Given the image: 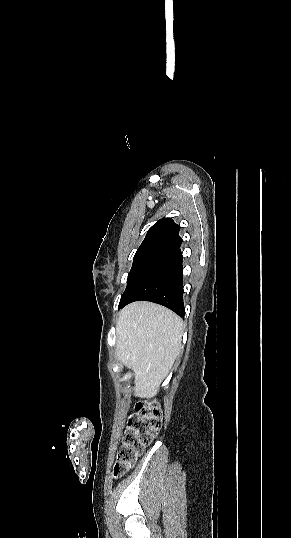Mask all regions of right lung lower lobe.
I'll return each instance as SVG.
<instances>
[{
    "label": "right lung lower lobe",
    "instance_id": "obj_1",
    "mask_svg": "<svg viewBox=\"0 0 291 538\" xmlns=\"http://www.w3.org/2000/svg\"><path fill=\"white\" fill-rule=\"evenodd\" d=\"M182 259L179 248L172 251L141 281L124 306L134 301L146 300L161 304L184 316Z\"/></svg>",
    "mask_w": 291,
    "mask_h": 538
}]
</instances>
